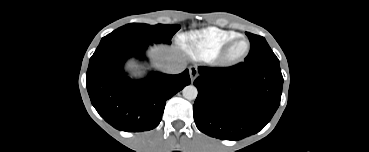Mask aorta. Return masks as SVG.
I'll list each match as a JSON object with an SVG mask.
<instances>
[{"label": "aorta", "mask_w": 369, "mask_h": 152, "mask_svg": "<svg viewBox=\"0 0 369 152\" xmlns=\"http://www.w3.org/2000/svg\"><path fill=\"white\" fill-rule=\"evenodd\" d=\"M182 94L185 99L194 100L198 95V91L194 85H188L183 88Z\"/></svg>", "instance_id": "obj_1"}]
</instances>
